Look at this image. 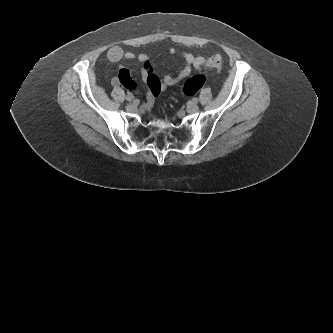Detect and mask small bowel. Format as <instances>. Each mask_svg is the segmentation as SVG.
I'll return each mask as SVG.
<instances>
[{"mask_svg": "<svg viewBox=\"0 0 333 333\" xmlns=\"http://www.w3.org/2000/svg\"><path fill=\"white\" fill-rule=\"evenodd\" d=\"M170 53L184 60V65L178 70L176 75L167 74L159 78L153 69L152 64L146 54L136 55L131 51H124L119 46H112L107 51V58L110 62L117 63L123 59H137L141 64V78L147 86L146 107H150L154 99L168 87L174 86L181 80L188 77L193 69L200 70L206 62L203 56H194L188 52L171 48ZM123 84L127 89L137 91L141 84L139 81L130 77V72L125 66H120L117 76L113 77L112 85L119 86Z\"/></svg>", "mask_w": 333, "mask_h": 333, "instance_id": "c3829d8e", "label": "small bowel"}]
</instances>
